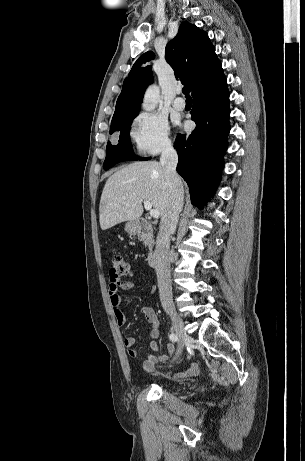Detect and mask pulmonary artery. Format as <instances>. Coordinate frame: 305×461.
Masks as SVG:
<instances>
[{"mask_svg": "<svg viewBox=\"0 0 305 461\" xmlns=\"http://www.w3.org/2000/svg\"><path fill=\"white\" fill-rule=\"evenodd\" d=\"M181 93V91H177V94L179 95ZM185 106H186V103L184 101V99L180 96L176 97L173 101V107L176 109V110H179V111H182L185 109Z\"/></svg>", "mask_w": 305, "mask_h": 461, "instance_id": "obj_1", "label": "pulmonary artery"}]
</instances>
